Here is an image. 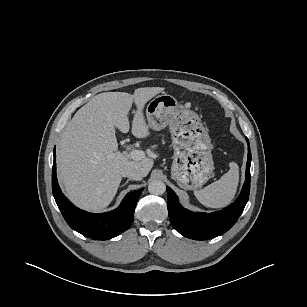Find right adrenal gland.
<instances>
[{
    "label": "right adrenal gland",
    "instance_id": "1",
    "mask_svg": "<svg viewBox=\"0 0 307 307\" xmlns=\"http://www.w3.org/2000/svg\"><path fill=\"white\" fill-rule=\"evenodd\" d=\"M130 180H131V179H127V181H126L122 186L128 184V182H129Z\"/></svg>",
    "mask_w": 307,
    "mask_h": 307
}]
</instances>
